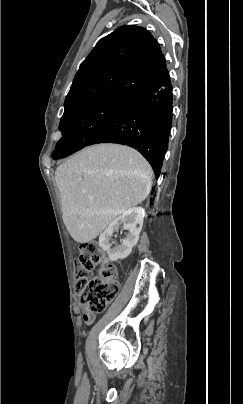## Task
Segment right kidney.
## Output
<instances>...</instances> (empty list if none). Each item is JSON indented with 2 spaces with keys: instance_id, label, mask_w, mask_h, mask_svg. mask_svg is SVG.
<instances>
[{
  "instance_id": "ca27d5eb",
  "label": "right kidney",
  "mask_w": 243,
  "mask_h": 404,
  "mask_svg": "<svg viewBox=\"0 0 243 404\" xmlns=\"http://www.w3.org/2000/svg\"><path fill=\"white\" fill-rule=\"evenodd\" d=\"M145 216V210L143 208H130L127 212H123L122 216L116 218L111 222L110 226L106 228L103 234L99 236V246L106 250L109 260L111 262H117V260H124L129 254L133 246H136L139 240V234L143 226V218ZM123 230H128L126 238L121 240L120 246H114L110 244L111 236L114 232H117L119 228Z\"/></svg>"
}]
</instances>
